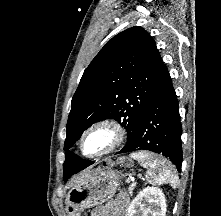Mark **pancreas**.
I'll return each mask as SVG.
<instances>
[{"label": "pancreas", "mask_w": 221, "mask_h": 216, "mask_svg": "<svg viewBox=\"0 0 221 216\" xmlns=\"http://www.w3.org/2000/svg\"><path fill=\"white\" fill-rule=\"evenodd\" d=\"M134 190V185H131L129 188H128V191L129 193L132 195V192Z\"/></svg>", "instance_id": "1"}]
</instances>
